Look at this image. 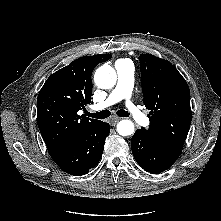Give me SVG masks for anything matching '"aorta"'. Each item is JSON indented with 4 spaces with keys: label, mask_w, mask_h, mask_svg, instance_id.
<instances>
[{
    "label": "aorta",
    "mask_w": 221,
    "mask_h": 221,
    "mask_svg": "<svg viewBox=\"0 0 221 221\" xmlns=\"http://www.w3.org/2000/svg\"><path fill=\"white\" fill-rule=\"evenodd\" d=\"M95 84L101 89L114 87L117 81L116 71L109 65L99 67L94 75ZM117 132L121 136H129L134 133V124L130 120H122L117 125Z\"/></svg>",
    "instance_id": "1"
}]
</instances>
